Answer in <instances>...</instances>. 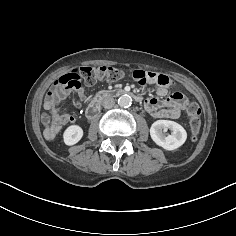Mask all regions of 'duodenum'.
Returning a JSON list of instances; mask_svg holds the SVG:
<instances>
[{
	"instance_id": "1",
	"label": "duodenum",
	"mask_w": 236,
	"mask_h": 236,
	"mask_svg": "<svg viewBox=\"0 0 236 236\" xmlns=\"http://www.w3.org/2000/svg\"><path fill=\"white\" fill-rule=\"evenodd\" d=\"M126 94L130 95L137 102L141 101V96L139 94L133 93L128 89L119 88L102 90L93 97L90 104L88 105L86 109V117L92 118L98 113L100 103L104 98L109 96H120Z\"/></svg>"
}]
</instances>
